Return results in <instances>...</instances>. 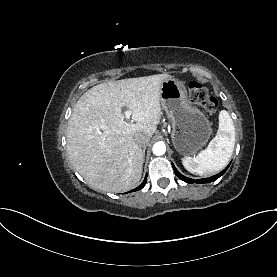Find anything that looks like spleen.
I'll return each mask as SVG.
<instances>
[{
	"label": "spleen",
	"mask_w": 277,
	"mask_h": 277,
	"mask_svg": "<svg viewBox=\"0 0 277 277\" xmlns=\"http://www.w3.org/2000/svg\"><path fill=\"white\" fill-rule=\"evenodd\" d=\"M234 145L233 120L226 110H222L219 113V128L215 138L196 157L182 158V164L190 173L212 175L226 166L232 156Z\"/></svg>",
	"instance_id": "spleen-1"
}]
</instances>
